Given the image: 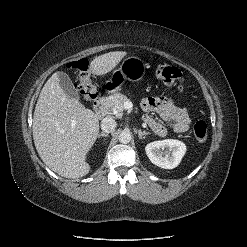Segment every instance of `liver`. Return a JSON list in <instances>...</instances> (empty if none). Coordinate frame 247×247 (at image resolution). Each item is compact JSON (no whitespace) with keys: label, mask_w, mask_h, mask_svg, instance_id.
Masks as SVG:
<instances>
[{"label":"liver","mask_w":247,"mask_h":247,"mask_svg":"<svg viewBox=\"0 0 247 247\" xmlns=\"http://www.w3.org/2000/svg\"><path fill=\"white\" fill-rule=\"evenodd\" d=\"M125 51L105 53L91 61L94 75L110 72L126 56ZM99 119L59 85L58 73L45 83L33 117V139L42 161L65 178H80L90 171L86 155L99 135Z\"/></svg>","instance_id":"1"}]
</instances>
